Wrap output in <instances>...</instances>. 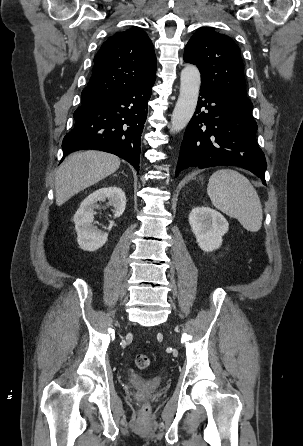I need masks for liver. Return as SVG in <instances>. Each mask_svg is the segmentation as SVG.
<instances>
[{"label":"liver","instance_id":"liver-1","mask_svg":"<svg viewBox=\"0 0 303 446\" xmlns=\"http://www.w3.org/2000/svg\"><path fill=\"white\" fill-rule=\"evenodd\" d=\"M120 159L101 151H82L70 155L58 168L55 177V197L58 206L72 196L114 173Z\"/></svg>","mask_w":303,"mask_h":446}]
</instances>
